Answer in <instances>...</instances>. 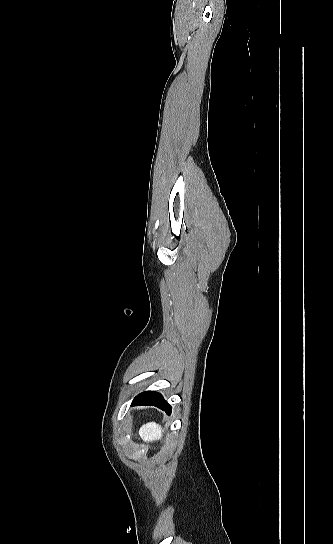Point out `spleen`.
<instances>
[{"instance_id": "spleen-1", "label": "spleen", "mask_w": 333, "mask_h": 544, "mask_svg": "<svg viewBox=\"0 0 333 544\" xmlns=\"http://www.w3.org/2000/svg\"><path fill=\"white\" fill-rule=\"evenodd\" d=\"M163 430L161 426L155 422H148L140 427L139 434L140 436L147 440H159L162 438Z\"/></svg>"}]
</instances>
